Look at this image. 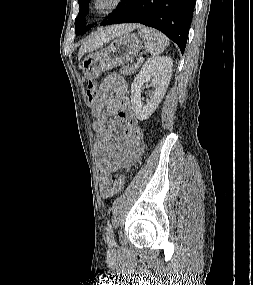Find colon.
Returning a JSON list of instances; mask_svg holds the SVG:
<instances>
[{
  "label": "colon",
  "instance_id": "5ec220e1",
  "mask_svg": "<svg viewBox=\"0 0 253 285\" xmlns=\"http://www.w3.org/2000/svg\"><path fill=\"white\" fill-rule=\"evenodd\" d=\"M97 95H98L97 83L95 81H89L86 90V96L88 102L92 103L96 99ZM124 184H125V176L121 175L113 183V187L116 193L120 192L123 189Z\"/></svg>",
  "mask_w": 253,
  "mask_h": 285
}]
</instances>
